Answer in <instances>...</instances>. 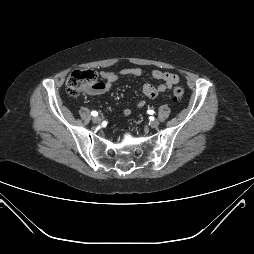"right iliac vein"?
<instances>
[{
	"label": "right iliac vein",
	"instance_id": "1",
	"mask_svg": "<svg viewBox=\"0 0 254 254\" xmlns=\"http://www.w3.org/2000/svg\"><path fill=\"white\" fill-rule=\"evenodd\" d=\"M92 121H93L94 123H96V124H99V123H101L102 119H101V117H99V116H95V117L92 119Z\"/></svg>",
	"mask_w": 254,
	"mask_h": 254
}]
</instances>
